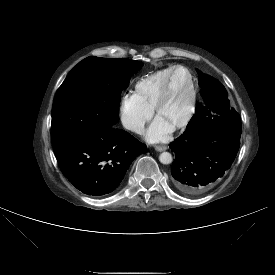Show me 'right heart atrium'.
Masks as SVG:
<instances>
[{
	"mask_svg": "<svg viewBox=\"0 0 275 275\" xmlns=\"http://www.w3.org/2000/svg\"><path fill=\"white\" fill-rule=\"evenodd\" d=\"M118 115L126 130L140 134L151 119L153 110L143 106L133 94H126L119 102Z\"/></svg>",
	"mask_w": 275,
	"mask_h": 275,
	"instance_id": "right-heart-atrium-1",
	"label": "right heart atrium"
}]
</instances>
